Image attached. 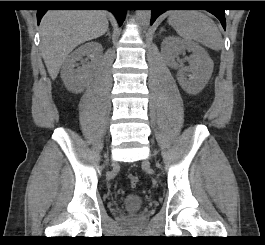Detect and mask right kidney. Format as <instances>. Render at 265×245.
I'll list each match as a JSON object with an SVG mask.
<instances>
[{"label":"right kidney","mask_w":265,"mask_h":245,"mask_svg":"<svg viewBox=\"0 0 265 245\" xmlns=\"http://www.w3.org/2000/svg\"><path fill=\"white\" fill-rule=\"evenodd\" d=\"M103 48L98 42H88L73 53H71L63 63L61 78L65 87L74 93L82 92L89 80L100 65ZM84 56H90L91 61L75 69L76 62Z\"/></svg>","instance_id":"right-kidney-1"}]
</instances>
